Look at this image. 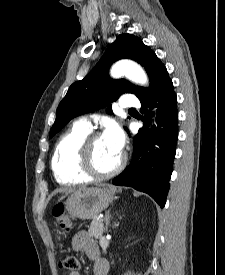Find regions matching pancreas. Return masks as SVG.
Here are the masks:
<instances>
[{"instance_id":"1","label":"pancreas","mask_w":225,"mask_h":275,"mask_svg":"<svg viewBox=\"0 0 225 275\" xmlns=\"http://www.w3.org/2000/svg\"><path fill=\"white\" fill-rule=\"evenodd\" d=\"M88 232L91 236L95 237L96 239L102 238L104 232L103 219L99 217L93 218Z\"/></svg>"}]
</instances>
